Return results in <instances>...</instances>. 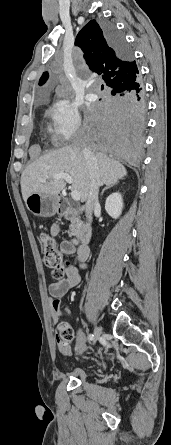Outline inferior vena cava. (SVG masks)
Segmentation results:
<instances>
[{"label": "inferior vena cava", "instance_id": "602c4592", "mask_svg": "<svg viewBox=\"0 0 171 445\" xmlns=\"http://www.w3.org/2000/svg\"><path fill=\"white\" fill-rule=\"evenodd\" d=\"M83 152L87 160L91 180L90 191L86 202V216L90 218L93 210L99 206L98 193L101 182L95 154L89 148H84Z\"/></svg>", "mask_w": 171, "mask_h": 445}]
</instances>
